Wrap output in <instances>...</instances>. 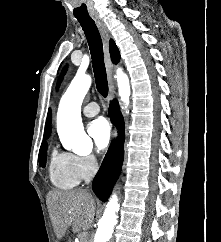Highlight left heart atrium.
I'll return each instance as SVG.
<instances>
[{"label":"left heart atrium","instance_id":"obj_1","mask_svg":"<svg viewBox=\"0 0 221 242\" xmlns=\"http://www.w3.org/2000/svg\"><path fill=\"white\" fill-rule=\"evenodd\" d=\"M88 133L98 149H104L111 139V128L104 118H98L91 122Z\"/></svg>","mask_w":221,"mask_h":242}]
</instances>
